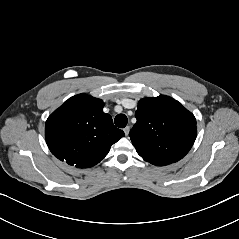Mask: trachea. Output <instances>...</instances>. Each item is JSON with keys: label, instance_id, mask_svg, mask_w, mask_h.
I'll return each mask as SVG.
<instances>
[{"label": "trachea", "instance_id": "trachea-1", "mask_svg": "<svg viewBox=\"0 0 239 239\" xmlns=\"http://www.w3.org/2000/svg\"><path fill=\"white\" fill-rule=\"evenodd\" d=\"M115 125L119 128H124L127 125L128 119L125 114H118L114 119Z\"/></svg>", "mask_w": 239, "mask_h": 239}]
</instances>
